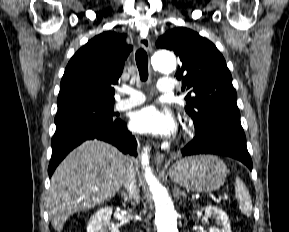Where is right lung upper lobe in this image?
<instances>
[{
  "mask_svg": "<svg viewBox=\"0 0 289 232\" xmlns=\"http://www.w3.org/2000/svg\"><path fill=\"white\" fill-rule=\"evenodd\" d=\"M132 47L125 35L103 32L88 41L69 61L60 84L58 109L77 105H113L114 88Z\"/></svg>",
  "mask_w": 289,
  "mask_h": 232,
  "instance_id": "cb5924a9",
  "label": "right lung upper lobe"
}]
</instances>
